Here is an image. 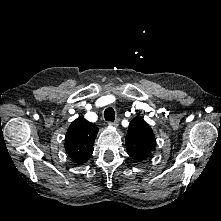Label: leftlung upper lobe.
<instances>
[{"label": "left lung upper lobe", "mask_w": 221, "mask_h": 221, "mask_svg": "<svg viewBox=\"0 0 221 221\" xmlns=\"http://www.w3.org/2000/svg\"><path fill=\"white\" fill-rule=\"evenodd\" d=\"M155 146L156 139L151 127L139 116L132 119L126 135L128 154L137 161L147 160Z\"/></svg>", "instance_id": "5c2ea615"}]
</instances>
